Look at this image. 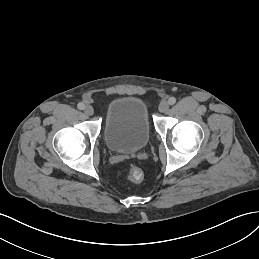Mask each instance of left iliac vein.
<instances>
[{
  "instance_id": "obj_1",
  "label": "left iliac vein",
  "mask_w": 259,
  "mask_h": 259,
  "mask_svg": "<svg viewBox=\"0 0 259 259\" xmlns=\"http://www.w3.org/2000/svg\"><path fill=\"white\" fill-rule=\"evenodd\" d=\"M168 109H169V105H168V103H167L166 101H163V102L160 103V105H159V111H160L161 113L167 112Z\"/></svg>"
}]
</instances>
